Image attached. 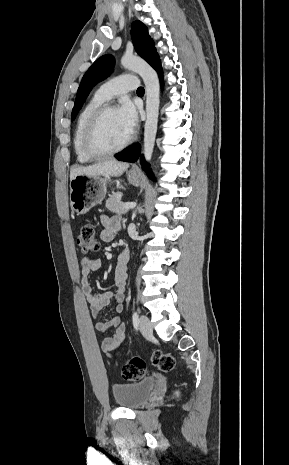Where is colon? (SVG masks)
Segmentation results:
<instances>
[{
    "label": "colon",
    "instance_id": "colon-1",
    "mask_svg": "<svg viewBox=\"0 0 289 465\" xmlns=\"http://www.w3.org/2000/svg\"><path fill=\"white\" fill-rule=\"evenodd\" d=\"M78 246L84 252L94 251L99 248L95 229L92 224L84 223L81 226L77 239ZM153 364L163 372L171 371L175 366L174 358L161 351L153 354ZM146 374V363L143 359L135 357L125 363L121 368V375L126 380L136 381L142 379Z\"/></svg>",
    "mask_w": 289,
    "mask_h": 465
}]
</instances>
